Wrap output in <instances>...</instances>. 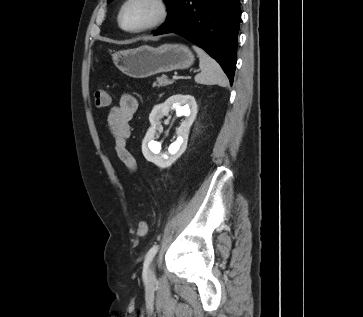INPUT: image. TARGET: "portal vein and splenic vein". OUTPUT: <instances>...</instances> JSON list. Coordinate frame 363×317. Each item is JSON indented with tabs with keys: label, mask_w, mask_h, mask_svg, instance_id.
I'll use <instances>...</instances> for the list:
<instances>
[{
	"label": "portal vein and splenic vein",
	"mask_w": 363,
	"mask_h": 317,
	"mask_svg": "<svg viewBox=\"0 0 363 317\" xmlns=\"http://www.w3.org/2000/svg\"><path fill=\"white\" fill-rule=\"evenodd\" d=\"M172 78H173V80H176L178 77L176 75H174Z\"/></svg>",
	"instance_id": "obj_1"
}]
</instances>
